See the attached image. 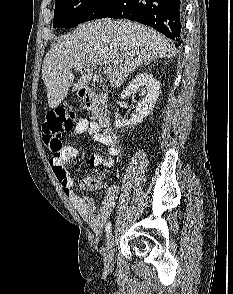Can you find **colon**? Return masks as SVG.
Listing matches in <instances>:
<instances>
[{
    "label": "colon",
    "instance_id": "5ec220e1",
    "mask_svg": "<svg viewBox=\"0 0 233 294\" xmlns=\"http://www.w3.org/2000/svg\"><path fill=\"white\" fill-rule=\"evenodd\" d=\"M76 124V114L65 107H57L49 111L42 125V136L45 145L53 157H60L62 153V137L70 132ZM88 189L99 188L95 176H86L81 180Z\"/></svg>",
    "mask_w": 233,
    "mask_h": 294
}]
</instances>
